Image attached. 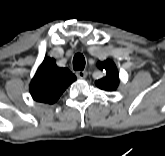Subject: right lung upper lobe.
<instances>
[{
  "mask_svg": "<svg viewBox=\"0 0 165 156\" xmlns=\"http://www.w3.org/2000/svg\"><path fill=\"white\" fill-rule=\"evenodd\" d=\"M75 80L69 69L59 68L53 58L46 57L31 81L30 93L38 102L53 104Z\"/></svg>",
  "mask_w": 165,
  "mask_h": 156,
  "instance_id": "1",
  "label": "right lung upper lobe"
}]
</instances>
